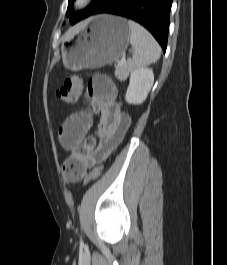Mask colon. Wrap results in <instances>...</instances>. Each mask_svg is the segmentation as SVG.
<instances>
[{
    "instance_id": "obj_1",
    "label": "colon",
    "mask_w": 227,
    "mask_h": 265,
    "mask_svg": "<svg viewBox=\"0 0 227 265\" xmlns=\"http://www.w3.org/2000/svg\"><path fill=\"white\" fill-rule=\"evenodd\" d=\"M82 93V81L81 79L73 75L67 78L64 85L57 90V97L66 104H72L78 100ZM83 159L78 153H72L65 160L63 164V171L65 176L72 180L75 177L76 171L81 168ZM103 166H96L84 179V184H89L99 178Z\"/></svg>"
}]
</instances>
